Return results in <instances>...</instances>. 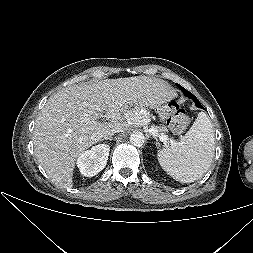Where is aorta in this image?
Listing matches in <instances>:
<instances>
[{
    "label": "aorta",
    "instance_id": "obj_1",
    "mask_svg": "<svg viewBox=\"0 0 253 253\" xmlns=\"http://www.w3.org/2000/svg\"><path fill=\"white\" fill-rule=\"evenodd\" d=\"M145 142V137L141 132L132 133L130 135V143L133 146L141 147Z\"/></svg>",
    "mask_w": 253,
    "mask_h": 253
}]
</instances>
